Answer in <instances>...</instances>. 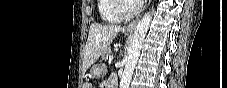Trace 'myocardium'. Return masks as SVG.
<instances>
[{
  "instance_id": "myocardium-1",
  "label": "myocardium",
  "mask_w": 227,
  "mask_h": 88,
  "mask_svg": "<svg viewBox=\"0 0 227 88\" xmlns=\"http://www.w3.org/2000/svg\"><path fill=\"white\" fill-rule=\"evenodd\" d=\"M131 0H114L111 5V9L113 13L119 18V19H129L131 17L136 16L141 11L140 7H136L131 12H126L123 8L124 2H129Z\"/></svg>"
}]
</instances>
